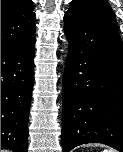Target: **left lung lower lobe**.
<instances>
[{
    "mask_svg": "<svg viewBox=\"0 0 123 152\" xmlns=\"http://www.w3.org/2000/svg\"><path fill=\"white\" fill-rule=\"evenodd\" d=\"M62 147L102 143L123 152V46L117 27L84 7L68 10Z\"/></svg>",
    "mask_w": 123,
    "mask_h": 152,
    "instance_id": "left-lung-lower-lobe-1",
    "label": "left lung lower lobe"
}]
</instances>
